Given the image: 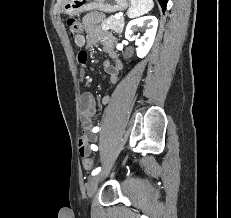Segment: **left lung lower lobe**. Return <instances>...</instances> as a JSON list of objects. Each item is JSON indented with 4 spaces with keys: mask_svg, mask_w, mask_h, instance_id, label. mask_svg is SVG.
<instances>
[{
    "mask_svg": "<svg viewBox=\"0 0 231 218\" xmlns=\"http://www.w3.org/2000/svg\"><path fill=\"white\" fill-rule=\"evenodd\" d=\"M158 1H159L160 5L163 9V12H164L166 9V5H167L168 0H158Z\"/></svg>",
    "mask_w": 231,
    "mask_h": 218,
    "instance_id": "obj_1",
    "label": "left lung lower lobe"
}]
</instances>
